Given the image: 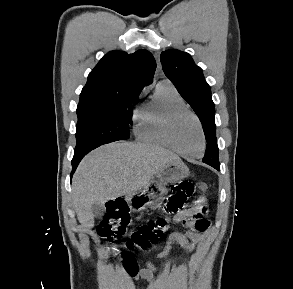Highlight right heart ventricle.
Instances as JSON below:
<instances>
[{"label":"right heart ventricle","instance_id":"1","mask_svg":"<svg viewBox=\"0 0 293 289\" xmlns=\"http://www.w3.org/2000/svg\"><path fill=\"white\" fill-rule=\"evenodd\" d=\"M185 106L178 91L168 82L159 83L151 100L141 105L134 114V134L141 142L168 148L165 136V121L168 113Z\"/></svg>","mask_w":293,"mask_h":289}]
</instances>
